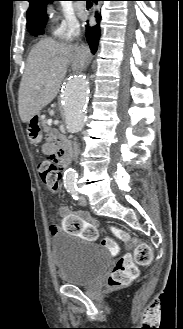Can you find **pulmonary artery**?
Wrapping results in <instances>:
<instances>
[{"label":"pulmonary artery","instance_id":"1","mask_svg":"<svg viewBox=\"0 0 183 329\" xmlns=\"http://www.w3.org/2000/svg\"><path fill=\"white\" fill-rule=\"evenodd\" d=\"M76 7L78 8V10H84L85 9L84 4H77Z\"/></svg>","mask_w":183,"mask_h":329}]
</instances>
